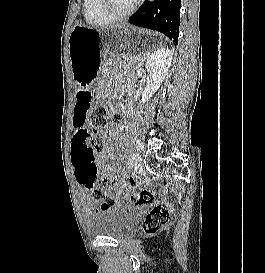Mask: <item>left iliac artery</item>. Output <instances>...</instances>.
I'll use <instances>...</instances> for the list:
<instances>
[{"instance_id":"1","label":"left iliac artery","mask_w":265,"mask_h":273,"mask_svg":"<svg viewBox=\"0 0 265 273\" xmlns=\"http://www.w3.org/2000/svg\"><path fill=\"white\" fill-rule=\"evenodd\" d=\"M135 151H136V154H134V157H136L137 156V153L139 152V151H141V148H140V145L138 144V141L136 142V145H135ZM133 159V158H132ZM131 163V162H130Z\"/></svg>"}]
</instances>
